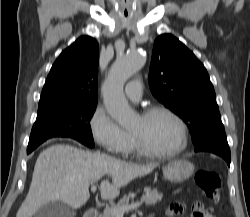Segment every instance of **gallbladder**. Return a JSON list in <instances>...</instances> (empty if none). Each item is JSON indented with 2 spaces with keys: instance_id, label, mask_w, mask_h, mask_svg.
<instances>
[{
  "instance_id": "bac80fb5",
  "label": "gallbladder",
  "mask_w": 250,
  "mask_h": 217,
  "mask_svg": "<svg viewBox=\"0 0 250 217\" xmlns=\"http://www.w3.org/2000/svg\"><path fill=\"white\" fill-rule=\"evenodd\" d=\"M75 211L60 202H50L42 206L34 217H74Z\"/></svg>"
}]
</instances>
